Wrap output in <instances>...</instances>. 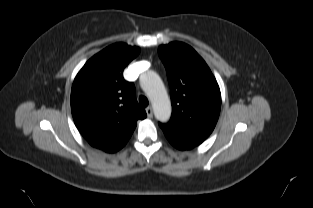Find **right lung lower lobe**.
I'll return each mask as SVG.
<instances>
[{
    "instance_id": "obj_1",
    "label": "right lung lower lobe",
    "mask_w": 313,
    "mask_h": 208,
    "mask_svg": "<svg viewBox=\"0 0 313 208\" xmlns=\"http://www.w3.org/2000/svg\"><path fill=\"white\" fill-rule=\"evenodd\" d=\"M93 147L102 149L108 153H113L121 149L123 146L118 147V146H110V145H104V144H92Z\"/></svg>"
}]
</instances>
